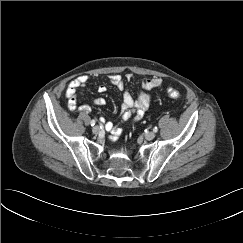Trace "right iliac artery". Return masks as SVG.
<instances>
[{
	"label": "right iliac artery",
	"instance_id": "1",
	"mask_svg": "<svg viewBox=\"0 0 243 243\" xmlns=\"http://www.w3.org/2000/svg\"><path fill=\"white\" fill-rule=\"evenodd\" d=\"M95 123H96V121L93 119V120H91V122H90V124H91V126H94L95 125Z\"/></svg>",
	"mask_w": 243,
	"mask_h": 243
}]
</instances>
